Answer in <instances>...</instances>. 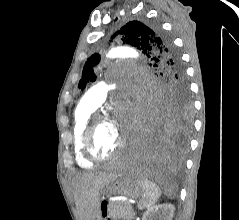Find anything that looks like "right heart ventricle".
Here are the masks:
<instances>
[{"label":"right heart ventricle","mask_w":239,"mask_h":220,"mask_svg":"<svg viewBox=\"0 0 239 220\" xmlns=\"http://www.w3.org/2000/svg\"><path fill=\"white\" fill-rule=\"evenodd\" d=\"M93 112L94 110L88 109L79 104L76 107L73 116V150L76 163L82 168H91L94 165L93 161L85 156L82 148L83 131Z\"/></svg>","instance_id":"1"}]
</instances>
